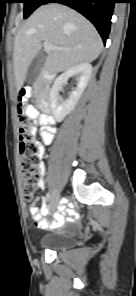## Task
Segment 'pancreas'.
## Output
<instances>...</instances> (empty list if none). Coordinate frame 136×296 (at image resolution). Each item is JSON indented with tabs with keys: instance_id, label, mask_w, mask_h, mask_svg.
<instances>
[{
	"instance_id": "pancreas-1",
	"label": "pancreas",
	"mask_w": 136,
	"mask_h": 296,
	"mask_svg": "<svg viewBox=\"0 0 136 296\" xmlns=\"http://www.w3.org/2000/svg\"><path fill=\"white\" fill-rule=\"evenodd\" d=\"M34 93L37 94V91L35 90Z\"/></svg>"
}]
</instances>
